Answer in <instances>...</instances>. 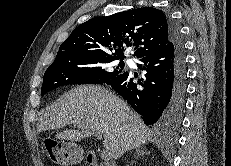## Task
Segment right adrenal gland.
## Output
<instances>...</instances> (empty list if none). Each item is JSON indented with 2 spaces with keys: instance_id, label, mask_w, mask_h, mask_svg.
I'll return each mask as SVG.
<instances>
[{
  "instance_id": "obj_1",
  "label": "right adrenal gland",
  "mask_w": 231,
  "mask_h": 166,
  "mask_svg": "<svg viewBox=\"0 0 231 166\" xmlns=\"http://www.w3.org/2000/svg\"><path fill=\"white\" fill-rule=\"evenodd\" d=\"M147 154H150V152L147 151L145 149V147L137 148L136 149L135 159L130 163V165H127V166H132L133 163L135 162V160H137L140 156H144V155H147Z\"/></svg>"
}]
</instances>
